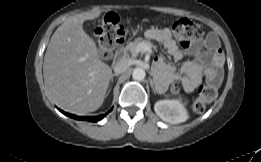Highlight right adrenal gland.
I'll return each instance as SVG.
<instances>
[{
  "mask_svg": "<svg viewBox=\"0 0 261 162\" xmlns=\"http://www.w3.org/2000/svg\"><path fill=\"white\" fill-rule=\"evenodd\" d=\"M119 74H117V73H115V74H112L111 75V82H113V78L115 77V76H118ZM110 91H111V87H109V90H108V92H107V96L109 95V93H110Z\"/></svg>",
  "mask_w": 261,
  "mask_h": 162,
  "instance_id": "1",
  "label": "right adrenal gland"
}]
</instances>
